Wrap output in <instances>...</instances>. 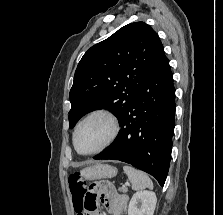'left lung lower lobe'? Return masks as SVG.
<instances>
[{
  "mask_svg": "<svg viewBox=\"0 0 223 215\" xmlns=\"http://www.w3.org/2000/svg\"><path fill=\"white\" fill-rule=\"evenodd\" d=\"M174 114L173 75L165 59L136 93L114 142L94 159L129 163L163 186L171 159Z\"/></svg>",
  "mask_w": 223,
  "mask_h": 215,
  "instance_id": "left-lung-lower-lobe-1",
  "label": "left lung lower lobe"
}]
</instances>
